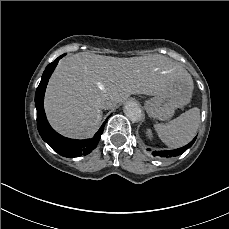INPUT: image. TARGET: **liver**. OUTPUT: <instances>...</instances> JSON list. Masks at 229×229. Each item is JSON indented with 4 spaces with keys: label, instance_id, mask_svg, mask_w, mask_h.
I'll return each mask as SVG.
<instances>
[{
    "label": "liver",
    "instance_id": "6515ba94",
    "mask_svg": "<svg viewBox=\"0 0 229 229\" xmlns=\"http://www.w3.org/2000/svg\"><path fill=\"white\" fill-rule=\"evenodd\" d=\"M174 80L193 86L188 71L163 55L115 58L81 52L59 61L46 89L45 112L60 134L88 138L101 125L103 104L110 109L131 94L158 95Z\"/></svg>",
    "mask_w": 229,
    "mask_h": 229
}]
</instances>
